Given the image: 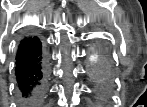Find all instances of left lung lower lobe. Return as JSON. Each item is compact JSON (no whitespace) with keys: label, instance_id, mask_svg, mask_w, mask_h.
<instances>
[{"label":"left lung lower lobe","instance_id":"left-lung-lower-lobe-1","mask_svg":"<svg viewBox=\"0 0 147 107\" xmlns=\"http://www.w3.org/2000/svg\"><path fill=\"white\" fill-rule=\"evenodd\" d=\"M99 76H100L101 85L103 86L102 87V92H103L104 91L103 88H105L110 83V77L109 75L104 73H100Z\"/></svg>","mask_w":147,"mask_h":107}]
</instances>
